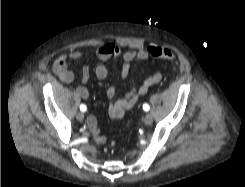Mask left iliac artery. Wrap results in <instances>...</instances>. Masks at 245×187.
Listing matches in <instances>:
<instances>
[{
  "instance_id": "obj_1",
  "label": "left iliac artery",
  "mask_w": 245,
  "mask_h": 187,
  "mask_svg": "<svg viewBox=\"0 0 245 187\" xmlns=\"http://www.w3.org/2000/svg\"><path fill=\"white\" fill-rule=\"evenodd\" d=\"M143 109H144L145 111H149L150 107H149L148 104H144V105H143Z\"/></svg>"
}]
</instances>
